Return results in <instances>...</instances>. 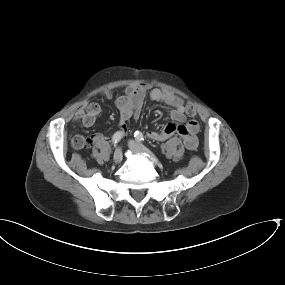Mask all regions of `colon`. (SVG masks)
Returning a JSON list of instances; mask_svg holds the SVG:
<instances>
[{"instance_id":"1","label":"colon","mask_w":285,"mask_h":285,"mask_svg":"<svg viewBox=\"0 0 285 285\" xmlns=\"http://www.w3.org/2000/svg\"><path fill=\"white\" fill-rule=\"evenodd\" d=\"M187 114L189 116H194L196 114V109L193 105H188ZM90 145L89 138L84 135H76L73 138V146L77 149L87 148Z\"/></svg>"}]
</instances>
